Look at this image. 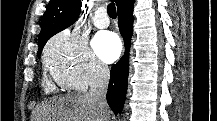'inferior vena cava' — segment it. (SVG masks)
Masks as SVG:
<instances>
[{
    "label": "inferior vena cava",
    "mask_w": 217,
    "mask_h": 121,
    "mask_svg": "<svg viewBox=\"0 0 217 121\" xmlns=\"http://www.w3.org/2000/svg\"><path fill=\"white\" fill-rule=\"evenodd\" d=\"M109 78L110 72L107 67L100 64L94 65L90 90L86 96L98 104L101 116L106 114V109L108 107L106 102V92Z\"/></svg>",
    "instance_id": "1"
}]
</instances>
